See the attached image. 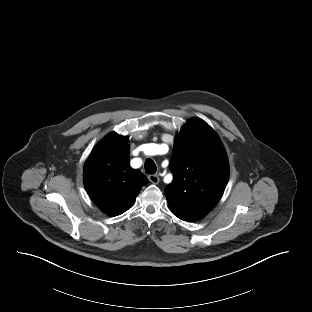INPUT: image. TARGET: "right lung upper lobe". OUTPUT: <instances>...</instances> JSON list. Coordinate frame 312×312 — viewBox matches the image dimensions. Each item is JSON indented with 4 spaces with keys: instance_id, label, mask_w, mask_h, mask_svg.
I'll use <instances>...</instances> for the list:
<instances>
[{
    "instance_id": "1",
    "label": "right lung upper lobe",
    "mask_w": 312,
    "mask_h": 312,
    "mask_svg": "<svg viewBox=\"0 0 312 312\" xmlns=\"http://www.w3.org/2000/svg\"><path fill=\"white\" fill-rule=\"evenodd\" d=\"M128 139L109 133L84 165V184L92 201L110 216L124 213L148 180L129 165Z\"/></svg>"
}]
</instances>
